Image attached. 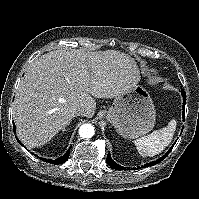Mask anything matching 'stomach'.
<instances>
[{"instance_id": "1", "label": "stomach", "mask_w": 199, "mask_h": 199, "mask_svg": "<svg viewBox=\"0 0 199 199\" xmlns=\"http://www.w3.org/2000/svg\"><path fill=\"white\" fill-rule=\"evenodd\" d=\"M156 111L148 91L135 85L120 92L109 108L106 118L117 133L133 139L151 131Z\"/></svg>"}]
</instances>
